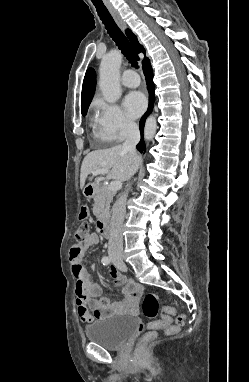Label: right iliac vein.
I'll return each mask as SVG.
<instances>
[{
	"label": "right iliac vein",
	"mask_w": 249,
	"mask_h": 382,
	"mask_svg": "<svg viewBox=\"0 0 249 382\" xmlns=\"http://www.w3.org/2000/svg\"><path fill=\"white\" fill-rule=\"evenodd\" d=\"M111 259L113 262H121L123 258L121 256H112Z\"/></svg>",
	"instance_id": "63e3f726"
}]
</instances>
